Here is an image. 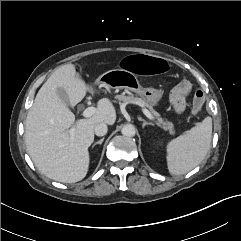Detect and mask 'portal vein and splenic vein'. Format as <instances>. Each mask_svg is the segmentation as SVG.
Returning <instances> with one entry per match:
<instances>
[{
  "label": "portal vein and splenic vein",
  "mask_w": 241,
  "mask_h": 241,
  "mask_svg": "<svg viewBox=\"0 0 241 241\" xmlns=\"http://www.w3.org/2000/svg\"><path fill=\"white\" fill-rule=\"evenodd\" d=\"M143 113L146 115V117H148L150 120H154L153 115L147 110V109H143L142 110ZM96 112V108L95 107H88L83 111V116L88 118L91 117L92 115H94V113ZM70 135L73 136L75 133V128L72 127L70 130Z\"/></svg>",
  "instance_id": "18ae733b"
}]
</instances>
